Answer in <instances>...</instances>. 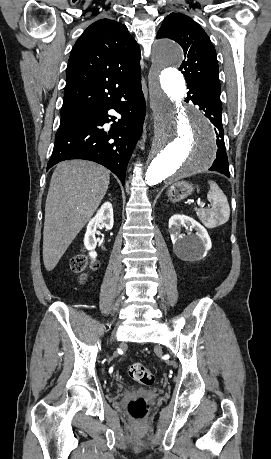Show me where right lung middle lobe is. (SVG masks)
Here are the masks:
<instances>
[{
	"label": "right lung middle lobe",
	"instance_id": "dd1d6c3e",
	"mask_svg": "<svg viewBox=\"0 0 271 459\" xmlns=\"http://www.w3.org/2000/svg\"><path fill=\"white\" fill-rule=\"evenodd\" d=\"M70 114H73V113H61V118L66 117V116H68Z\"/></svg>",
	"mask_w": 271,
	"mask_h": 459
}]
</instances>
